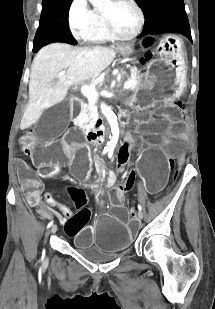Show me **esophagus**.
<instances>
[{
    "instance_id": "esophagus-1",
    "label": "esophagus",
    "mask_w": 215,
    "mask_h": 309,
    "mask_svg": "<svg viewBox=\"0 0 215 309\" xmlns=\"http://www.w3.org/2000/svg\"><path fill=\"white\" fill-rule=\"evenodd\" d=\"M118 46V44H112V47H117Z\"/></svg>"
}]
</instances>
